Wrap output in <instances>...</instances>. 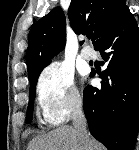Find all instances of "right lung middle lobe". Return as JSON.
<instances>
[{"label": "right lung middle lobe", "instance_id": "right-lung-middle-lobe-1", "mask_svg": "<svg viewBox=\"0 0 139 150\" xmlns=\"http://www.w3.org/2000/svg\"><path fill=\"white\" fill-rule=\"evenodd\" d=\"M41 71H39V73H37L31 80H29L30 81V97H29V104H28L27 114H26V122L27 123H30L31 120H32L36 83H37V79H38L39 74L41 73Z\"/></svg>", "mask_w": 139, "mask_h": 150}]
</instances>
